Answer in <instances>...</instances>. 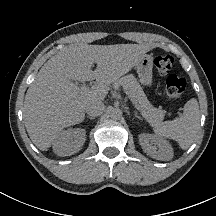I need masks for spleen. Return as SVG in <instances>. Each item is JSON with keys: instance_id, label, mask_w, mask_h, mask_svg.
I'll use <instances>...</instances> for the list:
<instances>
[{"instance_id": "spleen-1", "label": "spleen", "mask_w": 216, "mask_h": 216, "mask_svg": "<svg viewBox=\"0 0 216 216\" xmlns=\"http://www.w3.org/2000/svg\"><path fill=\"white\" fill-rule=\"evenodd\" d=\"M200 126V111L198 101L192 98L184 105L182 115L173 120L165 121L155 127L158 136L175 140L182 149H188L197 135Z\"/></svg>"}]
</instances>
